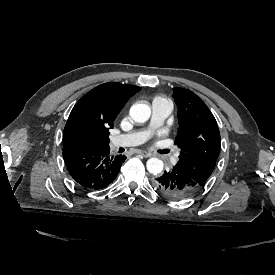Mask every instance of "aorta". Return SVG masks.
I'll use <instances>...</instances> for the list:
<instances>
[{
    "label": "aorta",
    "mask_w": 275,
    "mask_h": 275,
    "mask_svg": "<svg viewBox=\"0 0 275 275\" xmlns=\"http://www.w3.org/2000/svg\"><path fill=\"white\" fill-rule=\"evenodd\" d=\"M129 115L133 121L145 123L151 115V109L147 104L135 103L130 107ZM146 166L149 173L158 175L163 171L164 164L163 161L158 158H150Z\"/></svg>",
    "instance_id": "1"
}]
</instances>
